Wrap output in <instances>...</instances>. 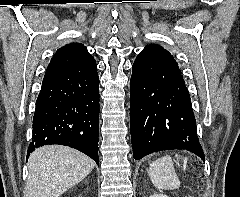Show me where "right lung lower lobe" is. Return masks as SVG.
<instances>
[{"label": "right lung lower lobe", "mask_w": 240, "mask_h": 197, "mask_svg": "<svg viewBox=\"0 0 240 197\" xmlns=\"http://www.w3.org/2000/svg\"><path fill=\"white\" fill-rule=\"evenodd\" d=\"M99 77L97 66L45 75L33 117L28 155L44 145L75 148L99 165Z\"/></svg>", "instance_id": "1"}]
</instances>
